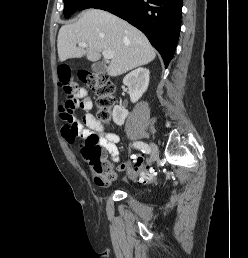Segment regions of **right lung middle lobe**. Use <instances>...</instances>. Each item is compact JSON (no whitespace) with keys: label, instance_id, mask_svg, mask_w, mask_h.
Instances as JSON below:
<instances>
[{"label":"right lung middle lobe","instance_id":"dd1d6c3e","mask_svg":"<svg viewBox=\"0 0 248 258\" xmlns=\"http://www.w3.org/2000/svg\"><path fill=\"white\" fill-rule=\"evenodd\" d=\"M108 0H64V16L69 18L77 10H84L87 8H94L97 5Z\"/></svg>","mask_w":248,"mask_h":258}]
</instances>
